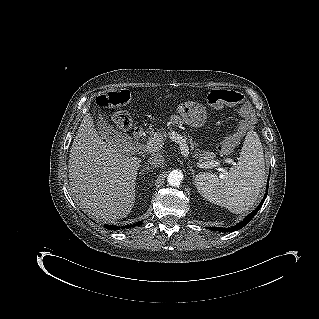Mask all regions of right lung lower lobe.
<instances>
[{
    "mask_svg": "<svg viewBox=\"0 0 319 319\" xmlns=\"http://www.w3.org/2000/svg\"><path fill=\"white\" fill-rule=\"evenodd\" d=\"M141 224V222H138V223H136V224H130V225H126V226H122L121 227V229H128V228H130V227H134V226H137V225H140ZM104 227L106 228V229H109V230H118V229H120V227H117V226H113V225H104Z\"/></svg>",
    "mask_w": 319,
    "mask_h": 319,
    "instance_id": "1",
    "label": "right lung lower lobe"
}]
</instances>
